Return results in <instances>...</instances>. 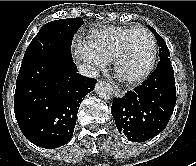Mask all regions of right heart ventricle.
<instances>
[{
  "label": "right heart ventricle",
  "mask_w": 196,
  "mask_h": 166,
  "mask_svg": "<svg viewBox=\"0 0 196 166\" xmlns=\"http://www.w3.org/2000/svg\"><path fill=\"white\" fill-rule=\"evenodd\" d=\"M134 28L108 26L95 31L88 39L90 49L107 63L112 62L121 48L124 38Z\"/></svg>",
  "instance_id": "e07e8e85"
}]
</instances>
